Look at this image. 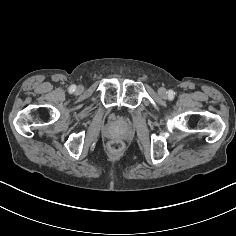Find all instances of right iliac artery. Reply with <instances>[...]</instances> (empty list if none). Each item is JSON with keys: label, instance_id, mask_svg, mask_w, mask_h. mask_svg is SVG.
<instances>
[{"label": "right iliac artery", "instance_id": "1", "mask_svg": "<svg viewBox=\"0 0 236 236\" xmlns=\"http://www.w3.org/2000/svg\"><path fill=\"white\" fill-rule=\"evenodd\" d=\"M76 89V86L75 85H71L70 88H69V92H74Z\"/></svg>", "mask_w": 236, "mask_h": 236}]
</instances>
